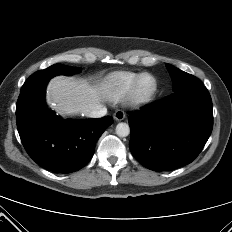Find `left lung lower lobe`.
<instances>
[{"instance_id": "obj_1", "label": "left lung lower lobe", "mask_w": 232, "mask_h": 232, "mask_svg": "<svg viewBox=\"0 0 232 232\" xmlns=\"http://www.w3.org/2000/svg\"><path fill=\"white\" fill-rule=\"evenodd\" d=\"M132 155L153 171L173 170L199 155L213 128L211 96L202 82L133 112Z\"/></svg>"}]
</instances>
